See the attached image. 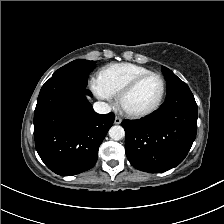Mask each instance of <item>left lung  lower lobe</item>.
<instances>
[{
    "label": "left lung lower lobe",
    "mask_w": 224,
    "mask_h": 224,
    "mask_svg": "<svg viewBox=\"0 0 224 224\" xmlns=\"http://www.w3.org/2000/svg\"><path fill=\"white\" fill-rule=\"evenodd\" d=\"M197 104L189 88L167 96L161 108L140 121H123L125 151L135 168L164 172L180 164L197 132Z\"/></svg>",
    "instance_id": "1"
}]
</instances>
